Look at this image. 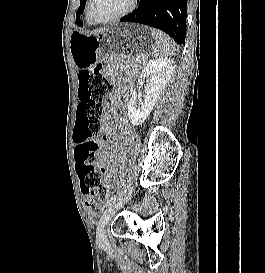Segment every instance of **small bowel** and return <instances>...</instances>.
I'll return each instance as SVG.
<instances>
[{
	"instance_id": "c3829d8e",
	"label": "small bowel",
	"mask_w": 265,
	"mask_h": 273,
	"mask_svg": "<svg viewBox=\"0 0 265 273\" xmlns=\"http://www.w3.org/2000/svg\"><path fill=\"white\" fill-rule=\"evenodd\" d=\"M108 102L112 106L113 112H112V114L108 115L105 118V125L106 126L104 129V136L110 140L112 137L111 124H112L113 120L118 118V114H117L116 110L119 108V102H118V99L116 96H110L108 99ZM123 127L128 128L129 123L127 121H124ZM77 145H78V143L76 142V146ZM115 153H116V149L114 148V146H108L106 149L101 151L98 156V165L101 168V170L103 171V173L105 175H107L108 177L111 175V163H112V159H113V156L115 155ZM98 209H99L98 206H96L94 208H90L92 214L96 213L98 211Z\"/></svg>"
}]
</instances>
